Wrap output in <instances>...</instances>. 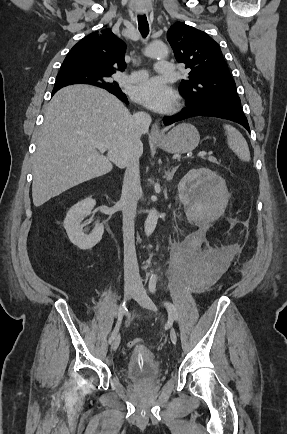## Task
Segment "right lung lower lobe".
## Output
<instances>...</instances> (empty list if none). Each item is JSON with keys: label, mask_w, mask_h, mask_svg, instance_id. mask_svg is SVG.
I'll list each match as a JSON object with an SVG mask.
<instances>
[{"label": "right lung lower lobe", "mask_w": 287, "mask_h": 434, "mask_svg": "<svg viewBox=\"0 0 287 434\" xmlns=\"http://www.w3.org/2000/svg\"><path fill=\"white\" fill-rule=\"evenodd\" d=\"M57 91L52 92V95H54ZM110 93L114 94L116 97H118L121 101H124L125 103H128L126 95L122 91H109Z\"/></svg>", "instance_id": "1"}]
</instances>
